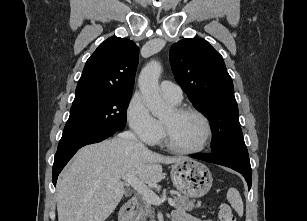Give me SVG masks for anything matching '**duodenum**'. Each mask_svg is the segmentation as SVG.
<instances>
[{
    "instance_id": "1",
    "label": "duodenum",
    "mask_w": 307,
    "mask_h": 221,
    "mask_svg": "<svg viewBox=\"0 0 307 221\" xmlns=\"http://www.w3.org/2000/svg\"><path fill=\"white\" fill-rule=\"evenodd\" d=\"M137 200L130 198L121 207L118 214V221H131L132 212L136 206Z\"/></svg>"
}]
</instances>
